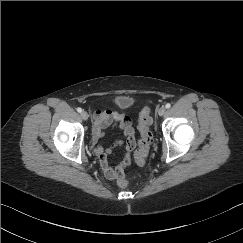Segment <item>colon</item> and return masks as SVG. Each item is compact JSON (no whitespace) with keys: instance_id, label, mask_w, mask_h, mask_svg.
Masks as SVG:
<instances>
[{"instance_id":"obj_1","label":"colon","mask_w":243,"mask_h":243,"mask_svg":"<svg viewBox=\"0 0 243 243\" xmlns=\"http://www.w3.org/2000/svg\"><path fill=\"white\" fill-rule=\"evenodd\" d=\"M152 119L150 115V108L145 106L139 115L138 130L140 133L139 149L135 154L136 161L139 165H142L144 159L149 151L151 144L153 143V135L150 130ZM131 178L128 176H122L117 180V185L121 188H126L130 184Z\"/></svg>"}]
</instances>
